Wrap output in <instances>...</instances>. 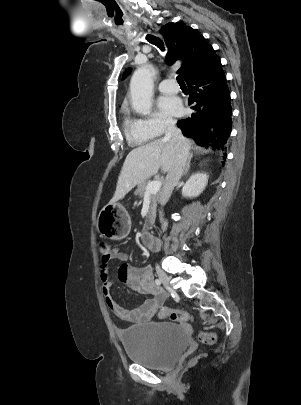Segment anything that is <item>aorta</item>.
I'll return each instance as SVG.
<instances>
[{
  "label": "aorta",
  "instance_id": "1",
  "mask_svg": "<svg viewBox=\"0 0 301 405\" xmlns=\"http://www.w3.org/2000/svg\"><path fill=\"white\" fill-rule=\"evenodd\" d=\"M132 107L140 114L146 115L151 111L153 96V79L146 67L138 68L130 81Z\"/></svg>",
  "mask_w": 301,
  "mask_h": 405
}]
</instances>
